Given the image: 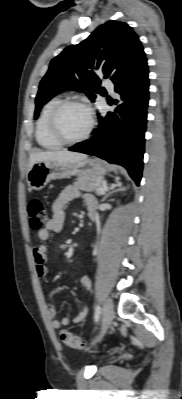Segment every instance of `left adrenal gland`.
Instances as JSON below:
<instances>
[{"label": "left adrenal gland", "mask_w": 182, "mask_h": 399, "mask_svg": "<svg viewBox=\"0 0 182 399\" xmlns=\"http://www.w3.org/2000/svg\"><path fill=\"white\" fill-rule=\"evenodd\" d=\"M116 187H119L118 189H115ZM110 189L112 190L111 192L107 193L103 198L102 201H104L109 195H111L112 193L116 192V191H121L124 188L121 187V183L117 182V184H114L110 187Z\"/></svg>", "instance_id": "left-adrenal-gland-1"}]
</instances>
